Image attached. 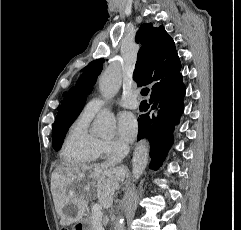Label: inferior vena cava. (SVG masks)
Wrapping results in <instances>:
<instances>
[{"instance_id":"1","label":"inferior vena cava","mask_w":241,"mask_h":230,"mask_svg":"<svg viewBox=\"0 0 241 230\" xmlns=\"http://www.w3.org/2000/svg\"><path fill=\"white\" fill-rule=\"evenodd\" d=\"M129 151V146L127 144H121L116 153L109 157L103 164L105 166L114 167L123 156Z\"/></svg>"}]
</instances>
